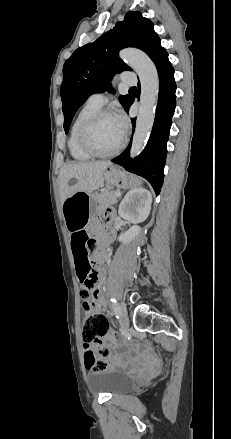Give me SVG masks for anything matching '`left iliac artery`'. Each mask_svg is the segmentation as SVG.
I'll return each mask as SVG.
<instances>
[{
  "label": "left iliac artery",
  "instance_id": "obj_1",
  "mask_svg": "<svg viewBox=\"0 0 231 439\" xmlns=\"http://www.w3.org/2000/svg\"><path fill=\"white\" fill-rule=\"evenodd\" d=\"M110 301H111V303H112V307H113V309H114V311H115V313H116V315H117L116 317L118 318V310H119V308H120V305H119V303L117 302V300L114 299V298H111Z\"/></svg>",
  "mask_w": 231,
  "mask_h": 439
}]
</instances>
